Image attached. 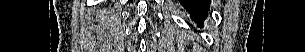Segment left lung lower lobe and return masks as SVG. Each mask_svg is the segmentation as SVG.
<instances>
[{
  "mask_svg": "<svg viewBox=\"0 0 305 52\" xmlns=\"http://www.w3.org/2000/svg\"><path fill=\"white\" fill-rule=\"evenodd\" d=\"M179 2L185 9H197L204 13L208 12L209 4L211 3L210 0H179ZM202 22H198L197 24L202 26Z\"/></svg>",
  "mask_w": 305,
  "mask_h": 52,
  "instance_id": "obj_1",
  "label": "left lung lower lobe"
}]
</instances>
